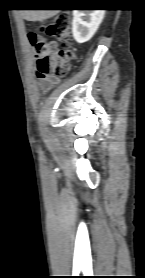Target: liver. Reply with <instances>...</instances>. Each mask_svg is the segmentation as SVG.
I'll list each match as a JSON object with an SVG mask.
<instances>
[{
    "label": "liver",
    "mask_w": 145,
    "mask_h": 278,
    "mask_svg": "<svg viewBox=\"0 0 145 278\" xmlns=\"http://www.w3.org/2000/svg\"><path fill=\"white\" fill-rule=\"evenodd\" d=\"M59 10H22V16L27 21H44L58 14Z\"/></svg>",
    "instance_id": "obj_1"
}]
</instances>
